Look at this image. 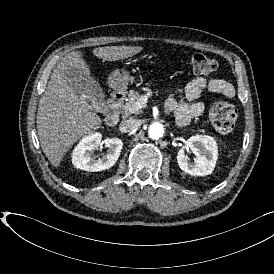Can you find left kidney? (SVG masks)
<instances>
[{
    "mask_svg": "<svg viewBox=\"0 0 274 274\" xmlns=\"http://www.w3.org/2000/svg\"><path fill=\"white\" fill-rule=\"evenodd\" d=\"M195 154V163H190L185 152ZM217 161V145L213 137L195 135L186 140L177 152L179 168L191 176H207L212 173Z\"/></svg>",
    "mask_w": 274,
    "mask_h": 274,
    "instance_id": "left-kidney-1",
    "label": "left kidney"
}]
</instances>
